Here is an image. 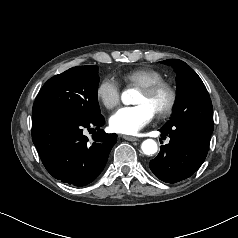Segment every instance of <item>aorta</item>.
<instances>
[{
    "mask_svg": "<svg viewBox=\"0 0 238 238\" xmlns=\"http://www.w3.org/2000/svg\"><path fill=\"white\" fill-rule=\"evenodd\" d=\"M132 90L128 89L121 95V100L124 104L129 105L132 102ZM141 150L145 155H153L157 152L158 146L153 139H146L141 144Z\"/></svg>",
    "mask_w": 238,
    "mask_h": 238,
    "instance_id": "1",
    "label": "aorta"
}]
</instances>
